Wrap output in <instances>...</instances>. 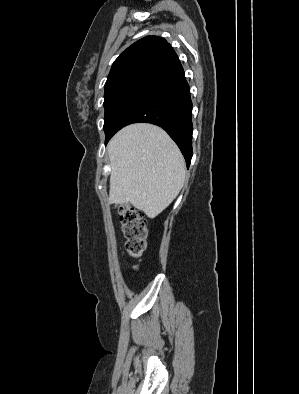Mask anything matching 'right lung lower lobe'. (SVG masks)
Here are the masks:
<instances>
[{
    "label": "right lung lower lobe",
    "mask_w": 299,
    "mask_h": 394,
    "mask_svg": "<svg viewBox=\"0 0 299 394\" xmlns=\"http://www.w3.org/2000/svg\"><path fill=\"white\" fill-rule=\"evenodd\" d=\"M191 115L190 89L180 66L138 96L121 116L105 144L126 125L152 123L163 128L176 142L189 167L192 158Z\"/></svg>",
    "instance_id": "1"
}]
</instances>
